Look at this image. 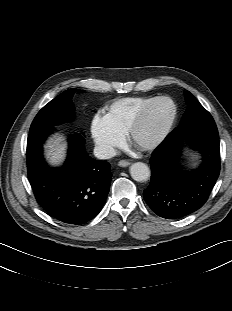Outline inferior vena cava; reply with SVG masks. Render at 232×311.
Listing matches in <instances>:
<instances>
[{
	"label": "inferior vena cava",
	"instance_id": "inferior-vena-cava-1",
	"mask_svg": "<svg viewBox=\"0 0 232 311\" xmlns=\"http://www.w3.org/2000/svg\"><path fill=\"white\" fill-rule=\"evenodd\" d=\"M94 155L98 159H110L116 155V150L109 145H98L94 148Z\"/></svg>",
	"mask_w": 232,
	"mask_h": 311
}]
</instances>
